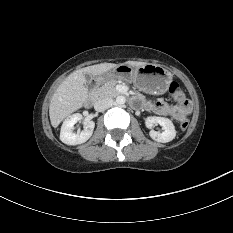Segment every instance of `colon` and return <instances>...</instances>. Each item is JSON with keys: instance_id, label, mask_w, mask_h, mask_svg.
<instances>
[{"instance_id": "5ec220e1", "label": "colon", "mask_w": 233, "mask_h": 233, "mask_svg": "<svg viewBox=\"0 0 233 233\" xmlns=\"http://www.w3.org/2000/svg\"><path fill=\"white\" fill-rule=\"evenodd\" d=\"M168 93L172 101L179 103L180 105L187 103V101L185 100L184 91L178 82L172 81L170 83ZM188 124L189 121L187 118H183L180 120V127L182 130H185L188 127Z\"/></svg>"}]
</instances>
